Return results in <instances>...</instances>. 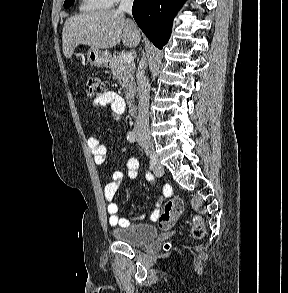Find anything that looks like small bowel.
<instances>
[{"mask_svg":"<svg viewBox=\"0 0 288 293\" xmlns=\"http://www.w3.org/2000/svg\"><path fill=\"white\" fill-rule=\"evenodd\" d=\"M94 107L97 109L107 108L110 115L113 118H119L125 111V101L124 99L114 91H107L102 97L94 101ZM87 145L91 151L93 160L96 164H102L108 154V147L106 144L102 143L97 137L91 136L87 140ZM140 163L135 157H130L127 161L128 176L130 178H135L139 170ZM147 179L151 180V175L146 174ZM123 173L120 171H115L113 173V181L106 184L104 188V197L108 201L107 213L109 215L108 222L110 226H121L127 227L132 221H140L145 218V215L138 217H119L118 205L113 202L114 196L122 183ZM166 191V190H165ZM161 205V200L156 202V209L151 214L152 220H157L159 216V208Z\"/></svg>","mask_w":288,"mask_h":293,"instance_id":"c3829d8e","label":"small bowel"}]
</instances>
